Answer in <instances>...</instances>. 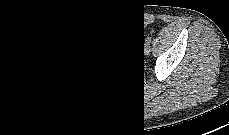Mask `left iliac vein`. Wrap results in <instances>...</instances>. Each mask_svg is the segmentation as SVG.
<instances>
[{"mask_svg":"<svg viewBox=\"0 0 229 135\" xmlns=\"http://www.w3.org/2000/svg\"><path fill=\"white\" fill-rule=\"evenodd\" d=\"M151 47H150V43H144V53L147 55L150 53Z\"/></svg>","mask_w":229,"mask_h":135,"instance_id":"obj_1","label":"left iliac vein"}]
</instances>
